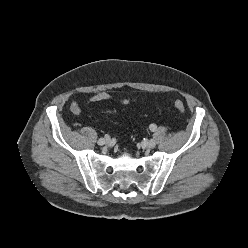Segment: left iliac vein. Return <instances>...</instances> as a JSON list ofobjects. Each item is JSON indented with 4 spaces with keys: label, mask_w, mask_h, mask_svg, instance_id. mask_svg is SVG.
Here are the masks:
<instances>
[{
    "label": "left iliac vein",
    "mask_w": 248,
    "mask_h": 248,
    "mask_svg": "<svg viewBox=\"0 0 248 248\" xmlns=\"http://www.w3.org/2000/svg\"><path fill=\"white\" fill-rule=\"evenodd\" d=\"M156 146V141L154 139H150L148 142H147V147L152 149Z\"/></svg>",
    "instance_id": "4c4485c4"
}]
</instances>
